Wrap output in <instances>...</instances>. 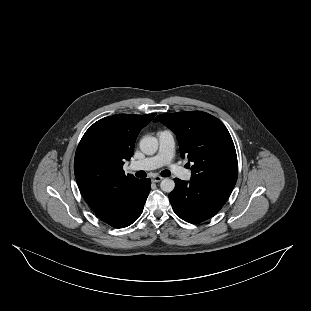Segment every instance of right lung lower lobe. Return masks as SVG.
<instances>
[{
    "label": "right lung lower lobe",
    "mask_w": 311,
    "mask_h": 311,
    "mask_svg": "<svg viewBox=\"0 0 311 311\" xmlns=\"http://www.w3.org/2000/svg\"><path fill=\"white\" fill-rule=\"evenodd\" d=\"M150 190L151 180L149 178L138 180L94 212L99 219L114 228L127 227L141 215Z\"/></svg>",
    "instance_id": "right-lung-lower-lobe-1"
}]
</instances>
